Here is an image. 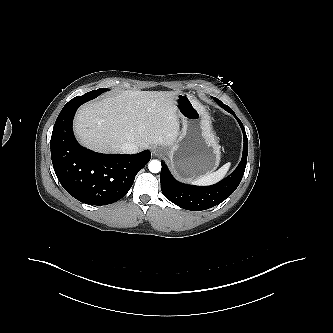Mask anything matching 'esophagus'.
Instances as JSON below:
<instances>
[{
	"instance_id": "1",
	"label": "esophagus",
	"mask_w": 333,
	"mask_h": 333,
	"mask_svg": "<svg viewBox=\"0 0 333 333\" xmlns=\"http://www.w3.org/2000/svg\"><path fill=\"white\" fill-rule=\"evenodd\" d=\"M152 154L154 156H159L161 155V151L158 148H152Z\"/></svg>"
}]
</instances>
